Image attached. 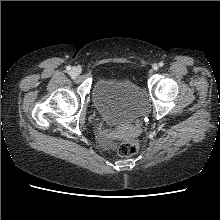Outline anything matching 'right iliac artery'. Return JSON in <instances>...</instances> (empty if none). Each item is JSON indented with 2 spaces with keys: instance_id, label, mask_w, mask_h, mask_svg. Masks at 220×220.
Listing matches in <instances>:
<instances>
[{
  "instance_id": "obj_1",
  "label": "right iliac artery",
  "mask_w": 220,
  "mask_h": 220,
  "mask_svg": "<svg viewBox=\"0 0 220 220\" xmlns=\"http://www.w3.org/2000/svg\"><path fill=\"white\" fill-rule=\"evenodd\" d=\"M66 69L69 71V70H71V67H70V66H67V68H66Z\"/></svg>"
}]
</instances>
